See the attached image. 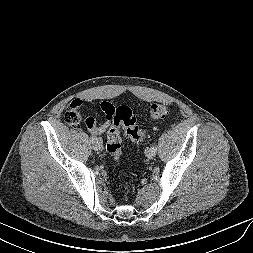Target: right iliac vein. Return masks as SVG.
Masks as SVG:
<instances>
[{"mask_svg":"<svg viewBox=\"0 0 253 253\" xmlns=\"http://www.w3.org/2000/svg\"><path fill=\"white\" fill-rule=\"evenodd\" d=\"M92 145L95 151H100L103 148V142L101 139H96L95 141L92 142Z\"/></svg>","mask_w":253,"mask_h":253,"instance_id":"obj_1","label":"right iliac vein"}]
</instances>
